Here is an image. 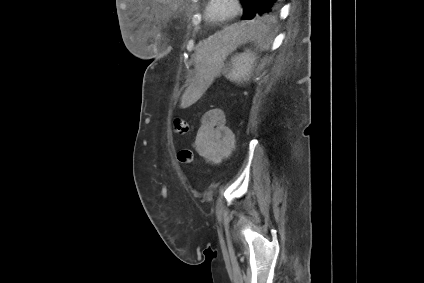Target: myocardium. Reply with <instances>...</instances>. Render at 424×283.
<instances>
[{"instance_id": "f54148a6", "label": "myocardium", "mask_w": 424, "mask_h": 283, "mask_svg": "<svg viewBox=\"0 0 424 283\" xmlns=\"http://www.w3.org/2000/svg\"><path fill=\"white\" fill-rule=\"evenodd\" d=\"M216 2V0H208V3L206 5V15L207 18L209 19V21L213 22V23H221V22H225V21H229L231 19H234L235 17H237L243 8L242 2L241 0H229V2L232 5V9L230 11L229 14L224 15V16H215L212 13V6L214 5V3Z\"/></svg>"}]
</instances>
